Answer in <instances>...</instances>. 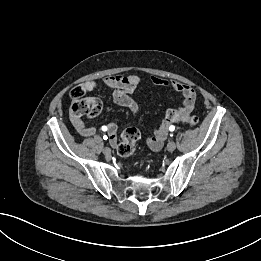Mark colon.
<instances>
[{"mask_svg":"<svg viewBox=\"0 0 261 261\" xmlns=\"http://www.w3.org/2000/svg\"><path fill=\"white\" fill-rule=\"evenodd\" d=\"M70 96L74 99L71 110L78 116L87 115L89 117H96L102 109V104L98 99L84 98V92L81 86H75L70 91ZM165 120L168 123L182 121L189 126H196L198 124V117L192 114L181 115L174 109L167 110ZM140 138V132L135 127L126 128L122 134L117 145V153L122 157L131 156L135 150L137 142Z\"/></svg>","mask_w":261,"mask_h":261,"instance_id":"obj_1","label":"colon"}]
</instances>
